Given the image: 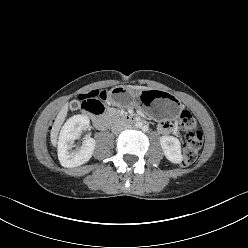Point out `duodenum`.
Listing matches in <instances>:
<instances>
[{"mask_svg": "<svg viewBox=\"0 0 248 248\" xmlns=\"http://www.w3.org/2000/svg\"><path fill=\"white\" fill-rule=\"evenodd\" d=\"M84 110L93 118L95 125L101 129L107 128L114 121H121L125 123H131L133 121V119L127 115H102V112L88 106H86Z\"/></svg>", "mask_w": 248, "mask_h": 248, "instance_id": "obj_1", "label": "duodenum"}]
</instances>
